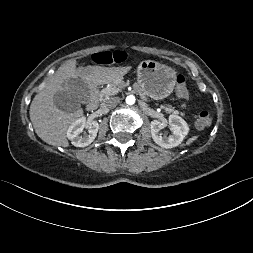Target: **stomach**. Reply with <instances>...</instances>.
I'll list each match as a JSON object with an SVG mask.
<instances>
[{
    "instance_id": "stomach-1",
    "label": "stomach",
    "mask_w": 253,
    "mask_h": 253,
    "mask_svg": "<svg viewBox=\"0 0 253 253\" xmlns=\"http://www.w3.org/2000/svg\"><path fill=\"white\" fill-rule=\"evenodd\" d=\"M176 71L154 60H144L137 68V82L148 97L159 100L168 97L176 85Z\"/></svg>"
}]
</instances>
